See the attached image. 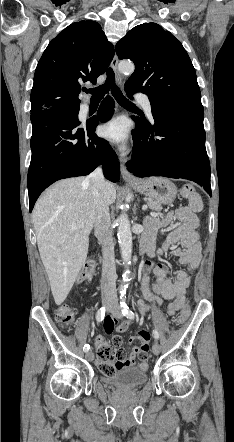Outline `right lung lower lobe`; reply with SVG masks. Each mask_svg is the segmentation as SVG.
<instances>
[{
	"instance_id": "98d812e1",
	"label": "right lung lower lobe",
	"mask_w": 234,
	"mask_h": 442,
	"mask_svg": "<svg viewBox=\"0 0 234 442\" xmlns=\"http://www.w3.org/2000/svg\"><path fill=\"white\" fill-rule=\"evenodd\" d=\"M79 107V106H78ZM114 100L107 96L98 117L80 125L78 113L65 108H50L31 113L32 157L28 171L30 212L42 191L57 180L84 176L99 164L105 177L118 182L120 164L109 143L95 135L98 122L113 114Z\"/></svg>"
}]
</instances>
